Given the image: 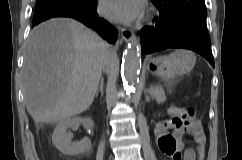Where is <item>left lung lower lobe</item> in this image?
Returning a JSON list of instances; mask_svg holds the SVG:
<instances>
[{
    "mask_svg": "<svg viewBox=\"0 0 242 160\" xmlns=\"http://www.w3.org/2000/svg\"><path fill=\"white\" fill-rule=\"evenodd\" d=\"M153 23L140 31L143 54L167 48H185L202 55L214 67L206 18L173 19L159 13Z\"/></svg>",
    "mask_w": 242,
    "mask_h": 160,
    "instance_id": "left-lung-lower-lobe-1",
    "label": "left lung lower lobe"
}]
</instances>
